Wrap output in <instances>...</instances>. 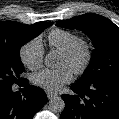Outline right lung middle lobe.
<instances>
[{"label":"right lung middle lobe","instance_id":"obj_1","mask_svg":"<svg viewBox=\"0 0 119 119\" xmlns=\"http://www.w3.org/2000/svg\"><path fill=\"white\" fill-rule=\"evenodd\" d=\"M51 25V22H38L33 25L18 23L0 31V88L24 81L20 78L24 70L20 48Z\"/></svg>","mask_w":119,"mask_h":119}]
</instances>
